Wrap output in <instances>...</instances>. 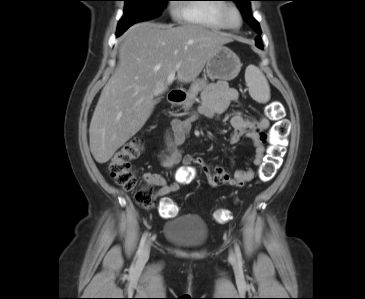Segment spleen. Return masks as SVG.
I'll use <instances>...</instances> for the list:
<instances>
[{
	"instance_id": "obj_1",
	"label": "spleen",
	"mask_w": 365,
	"mask_h": 299,
	"mask_svg": "<svg viewBox=\"0 0 365 299\" xmlns=\"http://www.w3.org/2000/svg\"><path fill=\"white\" fill-rule=\"evenodd\" d=\"M245 81L249 94L258 103H267L270 99V87L265 75L255 65H249L245 71Z\"/></svg>"
}]
</instances>
